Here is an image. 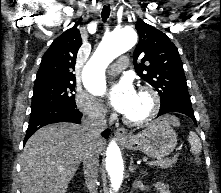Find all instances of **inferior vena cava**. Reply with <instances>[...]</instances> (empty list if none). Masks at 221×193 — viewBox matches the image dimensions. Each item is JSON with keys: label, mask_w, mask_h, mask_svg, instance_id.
I'll return each instance as SVG.
<instances>
[{"label": "inferior vena cava", "mask_w": 221, "mask_h": 193, "mask_svg": "<svg viewBox=\"0 0 221 193\" xmlns=\"http://www.w3.org/2000/svg\"><path fill=\"white\" fill-rule=\"evenodd\" d=\"M106 128L107 123L103 109L88 112L87 117L82 120V129L86 132V145L82 155L83 171L90 193H97L96 183L99 166L97 141L101 138V132Z\"/></svg>", "instance_id": "inferior-vena-cava-1"}]
</instances>
